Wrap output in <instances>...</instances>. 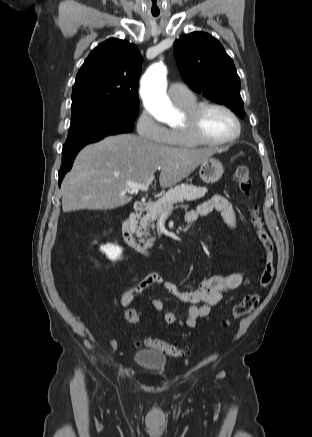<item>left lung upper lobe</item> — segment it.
I'll use <instances>...</instances> for the list:
<instances>
[{
  "label": "left lung upper lobe",
  "instance_id": "5c2ea615",
  "mask_svg": "<svg viewBox=\"0 0 312 437\" xmlns=\"http://www.w3.org/2000/svg\"><path fill=\"white\" fill-rule=\"evenodd\" d=\"M174 55L184 81L194 91L245 116L240 78L216 38L204 32L186 34L175 41Z\"/></svg>",
  "mask_w": 312,
  "mask_h": 437
}]
</instances>
